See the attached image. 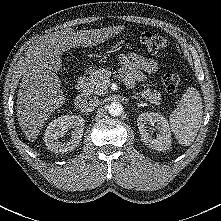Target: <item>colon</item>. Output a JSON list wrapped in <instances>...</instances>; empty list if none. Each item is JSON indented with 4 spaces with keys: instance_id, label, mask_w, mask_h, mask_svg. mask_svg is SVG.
<instances>
[{
    "instance_id": "colon-1",
    "label": "colon",
    "mask_w": 221,
    "mask_h": 221,
    "mask_svg": "<svg viewBox=\"0 0 221 221\" xmlns=\"http://www.w3.org/2000/svg\"><path fill=\"white\" fill-rule=\"evenodd\" d=\"M140 43L143 48L150 54H160L167 50V41L152 33H144L140 37ZM164 89L169 92H175L180 83V78L176 73H167L162 78Z\"/></svg>"
}]
</instances>
